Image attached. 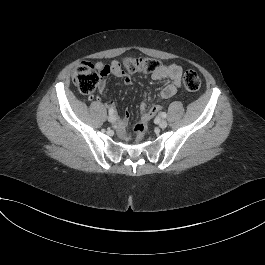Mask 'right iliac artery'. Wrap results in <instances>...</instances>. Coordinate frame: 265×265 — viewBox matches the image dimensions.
Listing matches in <instances>:
<instances>
[{
    "instance_id": "right-iliac-artery-1",
    "label": "right iliac artery",
    "mask_w": 265,
    "mask_h": 265,
    "mask_svg": "<svg viewBox=\"0 0 265 265\" xmlns=\"http://www.w3.org/2000/svg\"><path fill=\"white\" fill-rule=\"evenodd\" d=\"M109 114H113V110H109Z\"/></svg>"
}]
</instances>
